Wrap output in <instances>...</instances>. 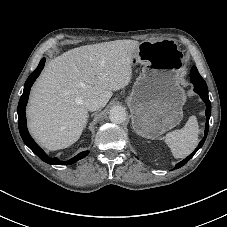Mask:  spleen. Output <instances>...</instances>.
I'll return each instance as SVG.
<instances>
[{
  "label": "spleen",
  "mask_w": 227,
  "mask_h": 227,
  "mask_svg": "<svg viewBox=\"0 0 227 227\" xmlns=\"http://www.w3.org/2000/svg\"><path fill=\"white\" fill-rule=\"evenodd\" d=\"M198 133L197 118L196 116H191L182 129L167 133L164 141L175 158H184L196 148Z\"/></svg>",
  "instance_id": "obj_1"
}]
</instances>
